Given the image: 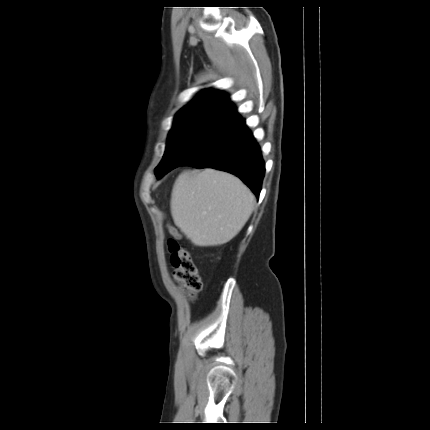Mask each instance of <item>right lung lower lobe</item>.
I'll use <instances>...</instances> for the list:
<instances>
[{
	"label": "right lung lower lobe",
	"mask_w": 430,
	"mask_h": 430,
	"mask_svg": "<svg viewBox=\"0 0 430 430\" xmlns=\"http://www.w3.org/2000/svg\"><path fill=\"white\" fill-rule=\"evenodd\" d=\"M197 168H214L239 177L259 197L265 163L260 147L241 120L233 129L184 162Z\"/></svg>",
	"instance_id": "obj_1"
}]
</instances>
